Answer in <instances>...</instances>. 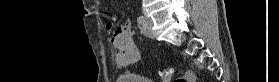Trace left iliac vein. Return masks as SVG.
I'll list each match as a JSON object with an SVG mask.
<instances>
[{
  "mask_svg": "<svg viewBox=\"0 0 279 82\" xmlns=\"http://www.w3.org/2000/svg\"><path fill=\"white\" fill-rule=\"evenodd\" d=\"M152 26H153V22L152 20L145 18V20L142 22V28L145 32V34L150 37V38H154L155 34L152 30Z\"/></svg>",
  "mask_w": 279,
  "mask_h": 82,
  "instance_id": "left-iliac-vein-1",
  "label": "left iliac vein"
}]
</instances>
